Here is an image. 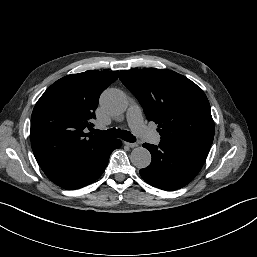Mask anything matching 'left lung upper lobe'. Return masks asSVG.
<instances>
[{"instance_id":"5c2ea615","label":"left lung upper lobe","mask_w":257,"mask_h":257,"mask_svg":"<svg viewBox=\"0 0 257 257\" xmlns=\"http://www.w3.org/2000/svg\"><path fill=\"white\" fill-rule=\"evenodd\" d=\"M120 80L158 124L163 143H207L214 138L210 104L200 87L167 69L120 71Z\"/></svg>"}]
</instances>
